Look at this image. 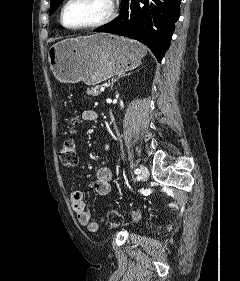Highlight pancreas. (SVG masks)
Instances as JSON below:
<instances>
[{"label":"pancreas","mask_w":240,"mask_h":281,"mask_svg":"<svg viewBox=\"0 0 240 281\" xmlns=\"http://www.w3.org/2000/svg\"><path fill=\"white\" fill-rule=\"evenodd\" d=\"M86 93L92 96H98L101 92L99 91V86H94L91 88H87Z\"/></svg>","instance_id":"pancreas-1"}]
</instances>
